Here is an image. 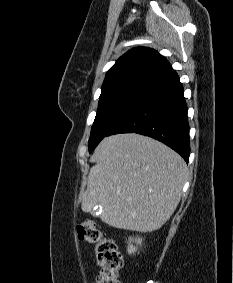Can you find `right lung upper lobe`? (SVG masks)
Returning a JSON list of instances; mask_svg holds the SVG:
<instances>
[{
  "mask_svg": "<svg viewBox=\"0 0 233 283\" xmlns=\"http://www.w3.org/2000/svg\"><path fill=\"white\" fill-rule=\"evenodd\" d=\"M171 70L167 59L154 49L136 47L121 56L108 70L102 89L131 80L151 82Z\"/></svg>",
  "mask_w": 233,
  "mask_h": 283,
  "instance_id": "right-lung-upper-lobe-1",
  "label": "right lung upper lobe"
}]
</instances>
